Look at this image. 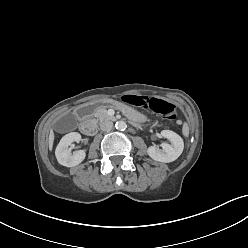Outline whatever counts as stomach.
I'll return each instance as SVG.
<instances>
[{"instance_id":"1","label":"stomach","mask_w":248,"mask_h":248,"mask_svg":"<svg viewBox=\"0 0 248 248\" xmlns=\"http://www.w3.org/2000/svg\"><path fill=\"white\" fill-rule=\"evenodd\" d=\"M100 110H113L115 109L122 116H128L133 122L145 123L147 116L143 113H137L132 107L124 106L121 101H113L111 99L102 100L100 102L93 101L84 107L86 114H92L94 111Z\"/></svg>"}]
</instances>
